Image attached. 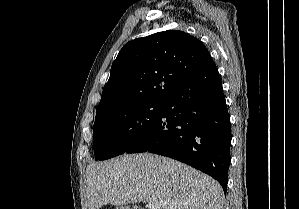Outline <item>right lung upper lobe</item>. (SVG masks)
Here are the masks:
<instances>
[{
    "label": "right lung upper lobe",
    "instance_id": "right-lung-upper-lobe-1",
    "mask_svg": "<svg viewBox=\"0 0 299 209\" xmlns=\"http://www.w3.org/2000/svg\"><path fill=\"white\" fill-rule=\"evenodd\" d=\"M217 69L199 39L178 30L130 41L112 64L96 115L140 102H165L190 76Z\"/></svg>",
    "mask_w": 299,
    "mask_h": 209
}]
</instances>
